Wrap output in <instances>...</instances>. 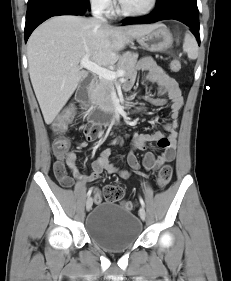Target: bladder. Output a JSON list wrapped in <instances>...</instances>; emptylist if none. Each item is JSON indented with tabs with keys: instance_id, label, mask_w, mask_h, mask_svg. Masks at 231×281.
<instances>
[{
	"instance_id": "1",
	"label": "bladder",
	"mask_w": 231,
	"mask_h": 281,
	"mask_svg": "<svg viewBox=\"0 0 231 281\" xmlns=\"http://www.w3.org/2000/svg\"><path fill=\"white\" fill-rule=\"evenodd\" d=\"M88 237L108 251H123L134 245L142 223L133 213L112 202H102L86 217Z\"/></svg>"
}]
</instances>
